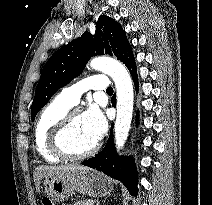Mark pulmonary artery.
Segmentation results:
<instances>
[{
  "instance_id": "e3ab8cb5",
  "label": "pulmonary artery",
  "mask_w": 212,
  "mask_h": 205,
  "mask_svg": "<svg viewBox=\"0 0 212 205\" xmlns=\"http://www.w3.org/2000/svg\"><path fill=\"white\" fill-rule=\"evenodd\" d=\"M108 78L104 74L89 76L69 87L64 88L57 96L59 100L69 105H76L83 93L88 90H107Z\"/></svg>"
}]
</instances>
